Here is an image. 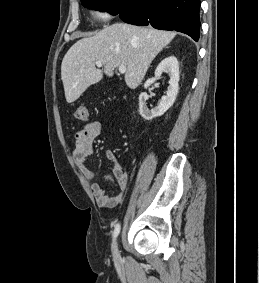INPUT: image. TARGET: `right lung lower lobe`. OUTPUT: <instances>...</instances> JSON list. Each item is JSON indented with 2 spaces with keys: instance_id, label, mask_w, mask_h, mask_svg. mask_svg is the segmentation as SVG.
<instances>
[{
  "instance_id": "right-lung-lower-lobe-1",
  "label": "right lung lower lobe",
  "mask_w": 259,
  "mask_h": 283,
  "mask_svg": "<svg viewBox=\"0 0 259 283\" xmlns=\"http://www.w3.org/2000/svg\"><path fill=\"white\" fill-rule=\"evenodd\" d=\"M200 0H120L119 17L134 25L175 30L198 41Z\"/></svg>"
}]
</instances>
